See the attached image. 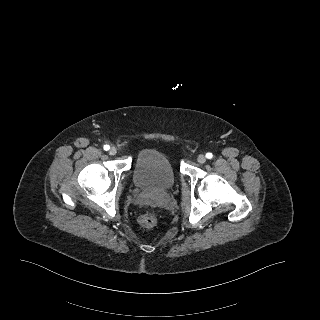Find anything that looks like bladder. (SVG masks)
<instances>
[{"instance_id":"31cf9c89","label":"bladder","mask_w":320,"mask_h":320,"mask_svg":"<svg viewBox=\"0 0 320 320\" xmlns=\"http://www.w3.org/2000/svg\"><path fill=\"white\" fill-rule=\"evenodd\" d=\"M133 178L142 191L163 192L173 187L176 175L172 163L164 153L147 148L137 155Z\"/></svg>"}]
</instances>
